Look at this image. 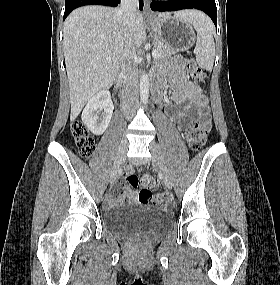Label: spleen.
I'll return each instance as SVG.
<instances>
[{
	"instance_id": "1",
	"label": "spleen",
	"mask_w": 280,
	"mask_h": 285,
	"mask_svg": "<svg viewBox=\"0 0 280 285\" xmlns=\"http://www.w3.org/2000/svg\"><path fill=\"white\" fill-rule=\"evenodd\" d=\"M187 12L191 14L185 15V12H183L176 16L193 25L197 32L196 46L194 50L196 61L200 68L206 71H211L215 57V43L213 38L215 31L214 25L212 21L201 12Z\"/></svg>"
}]
</instances>
